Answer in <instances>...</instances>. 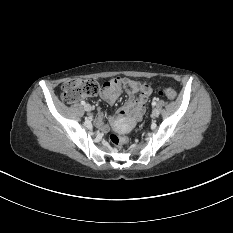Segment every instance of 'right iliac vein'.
<instances>
[{"label": "right iliac vein", "instance_id": "63e3f726", "mask_svg": "<svg viewBox=\"0 0 233 233\" xmlns=\"http://www.w3.org/2000/svg\"><path fill=\"white\" fill-rule=\"evenodd\" d=\"M84 110L87 111V112H90L92 110V107L90 104H85L84 105Z\"/></svg>", "mask_w": 233, "mask_h": 233}]
</instances>
